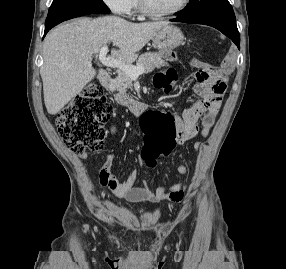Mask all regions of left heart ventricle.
Returning a JSON list of instances; mask_svg holds the SVG:
<instances>
[{"label": "left heart ventricle", "instance_id": "obj_1", "mask_svg": "<svg viewBox=\"0 0 286 269\" xmlns=\"http://www.w3.org/2000/svg\"><path fill=\"white\" fill-rule=\"evenodd\" d=\"M182 0H146L148 7L156 13H164L175 9Z\"/></svg>", "mask_w": 286, "mask_h": 269}]
</instances>
